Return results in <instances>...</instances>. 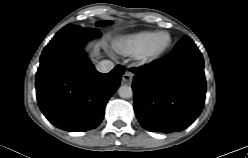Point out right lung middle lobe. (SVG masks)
<instances>
[{
    "instance_id": "dd1d6c3e",
    "label": "right lung middle lobe",
    "mask_w": 248,
    "mask_h": 158,
    "mask_svg": "<svg viewBox=\"0 0 248 158\" xmlns=\"http://www.w3.org/2000/svg\"><path fill=\"white\" fill-rule=\"evenodd\" d=\"M112 22L111 21H99V22H97L96 23V26H106V25H109V24H111ZM80 28H82L81 26H78V25H71V24H69V25H66V26H64L61 30H68V29H80Z\"/></svg>"
}]
</instances>
